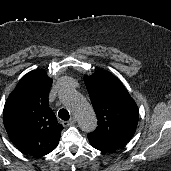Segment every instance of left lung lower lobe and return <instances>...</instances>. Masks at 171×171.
Returning a JSON list of instances; mask_svg holds the SVG:
<instances>
[{
  "instance_id": "obj_1",
  "label": "left lung lower lobe",
  "mask_w": 171,
  "mask_h": 171,
  "mask_svg": "<svg viewBox=\"0 0 171 171\" xmlns=\"http://www.w3.org/2000/svg\"><path fill=\"white\" fill-rule=\"evenodd\" d=\"M89 141H90L91 145H92L94 148H96V149H98V150H100V151H102V152H113V151H115L114 149H111V148H109V147H107V146L98 144V143H96V142H94V141H92V140H89Z\"/></svg>"
}]
</instances>
